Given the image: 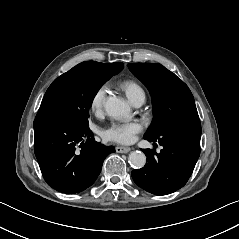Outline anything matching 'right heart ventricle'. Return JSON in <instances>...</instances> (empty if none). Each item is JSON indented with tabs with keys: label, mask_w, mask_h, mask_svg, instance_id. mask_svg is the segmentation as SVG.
<instances>
[{
	"label": "right heart ventricle",
	"mask_w": 239,
	"mask_h": 239,
	"mask_svg": "<svg viewBox=\"0 0 239 239\" xmlns=\"http://www.w3.org/2000/svg\"><path fill=\"white\" fill-rule=\"evenodd\" d=\"M124 88H125L130 99L137 93H144L143 89L138 84L131 82V81L126 82L124 84Z\"/></svg>",
	"instance_id": "1"
}]
</instances>
